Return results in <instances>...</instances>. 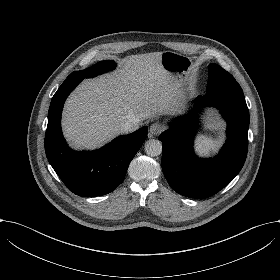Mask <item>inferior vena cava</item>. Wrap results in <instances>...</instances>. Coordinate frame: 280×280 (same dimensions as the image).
<instances>
[{
  "label": "inferior vena cava",
  "instance_id": "obj_1",
  "mask_svg": "<svg viewBox=\"0 0 280 280\" xmlns=\"http://www.w3.org/2000/svg\"><path fill=\"white\" fill-rule=\"evenodd\" d=\"M139 120L128 121L121 126L122 133L133 132L139 128Z\"/></svg>",
  "mask_w": 280,
  "mask_h": 280
}]
</instances>
